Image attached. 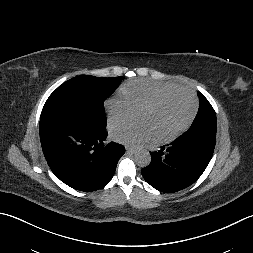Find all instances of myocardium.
<instances>
[{
	"instance_id": "1",
	"label": "myocardium",
	"mask_w": 253,
	"mask_h": 253,
	"mask_svg": "<svg viewBox=\"0 0 253 253\" xmlns=\"http://www.w3.org/2000/svg\"><path fill=\"white\" fill-rule=\"evenodd\" d=\"M179 92L186 93L191 98L192 103H193L192 112L189 118L187 119V121L178 129L173 131L172 133L165 136H155L154 139L156 142L166 143V142L172 141L178 136H180L183 132H185L191 126L198 112V107H199L198 99L191 90L184 87H176V88L164 90L158 93L148 103H146L144 106L140 108V110H150L154 108L164 97L174 94V93H179Z\"/></svg>"
}]
</instances>
